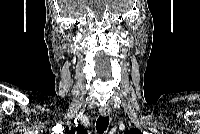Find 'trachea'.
<instances>
[{
  "mask_svg": "<svg viewBox=\"0 0 200 134\" xmlns=\"http://www.w3.org/2000/svg\"><path fill=\"white\" fill-rule=\"evenodd\" d=\"M109 125V117H102L99 116V118L96 121V130L99 134H102L106 131L107 127Z\"/></svg>",
  "mask_w": 200,
  "mask_h": 134,
  "instance_id": "trachea-1",
  "label": "trachea"
}]
</instances>
